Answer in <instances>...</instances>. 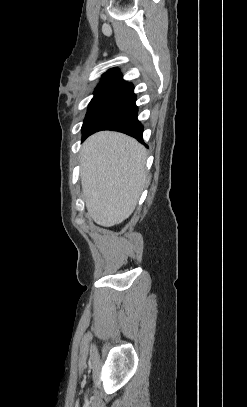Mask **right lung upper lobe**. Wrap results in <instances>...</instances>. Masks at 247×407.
Returning <instances> with one entry per match:
<instances>
[{"mask_svg": "<svg viewBox=\"0 0 247 407\" xmlns=\"http://www.w3.org/2000/svg\"><path fill=\"white\" fill-rule=\"evenodd\" d=\"M118 89L133 90L134 87L132 83L122 79V75L117 68H112L103 75L101 82L95 89V95Z\"/></svg>", "mask_w": 247, "mask_h": 407, "instance_id": "cb5924a9", "label": "right lung upper lobe"}]
</instances>
